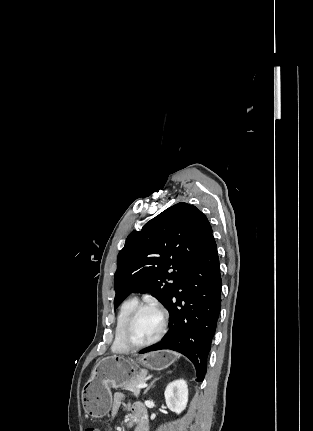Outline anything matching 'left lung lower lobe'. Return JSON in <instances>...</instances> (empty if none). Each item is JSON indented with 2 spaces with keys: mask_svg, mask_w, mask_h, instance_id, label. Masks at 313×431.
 <instances>
[{
  "mask_svg": "<svg viewBox=\"0 0 313 431\" xmlns=\"http://www.w3.org/2000/svg\"><path fill=\"white\" fill-rule=\"evenodd\" d=\"M221 285L217 246L211 233L167 306L168 332L140 353L160 349L180 352L192 361L196 381L202 382L221 310Z\"/></svg>",
  "mask_w": 313,
  "mask_h": 431,
  "instance_id": "left-lung-lower-lobe-1",
  "label": "left lung lower lobe"
}]
</instances>
